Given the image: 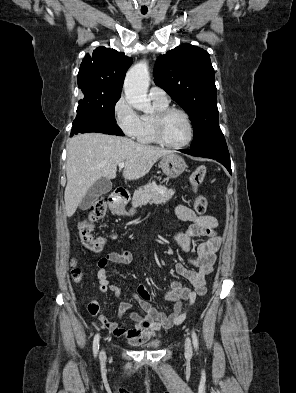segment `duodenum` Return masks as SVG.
Returning <instances> with one entry per match:
<instances>
[{"instance_id":"410a0bca","label":"duodenum","mask_w":296,"mask_h":393,"mask_svg":"<svg viewBox=\"0 0 296 393\" xmlns=\"http://www.w3.org/2000/svg\"><path fill=\"white\" fill-rule=\"evenodd\" d=\"M128 197V193L122 187L117 188L109 199L110 207L115 211Z\"/></svg>"}]
</instances>
